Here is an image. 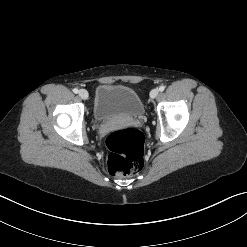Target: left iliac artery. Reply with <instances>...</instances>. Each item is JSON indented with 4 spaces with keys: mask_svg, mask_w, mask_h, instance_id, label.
<instances>
[{
    "mask_svg": "<svg viewBox=\"0 0 247 247\" xmlns=\"http://www.w3.org/2000/svg\"><path fill=\"white\" fill-rule=\"evenodd\" d=\"M165 90V86H163V85H161L160 87H159V91H164Z\"/></svg>",
    "mask_w": 247,
    "mask_h": 247,
    "instance_id": "1",
    "label": "left iliac artery"
}]
</instances>
